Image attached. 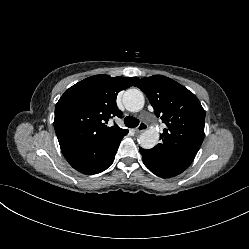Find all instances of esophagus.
Returning a JSON list of instances; mask_svg holds the SVG:
<instances>
[{
  "label": "esophagus",
  "instance_id": "34e87169",
  "mask_svg": "<svg viewBox=\"0 0 249 249\" xmlns=\"http://www.w3.org/2000/svg\"><path fill=\"white\" fill-rule=\"evenodd\" d=\"M147 124L145 122H141L139 126L135 129L136 133L144 132L147 129Z\"/></svg>",
  "mask_w": 249,
  "mask_h": 249
}]
</instances>
